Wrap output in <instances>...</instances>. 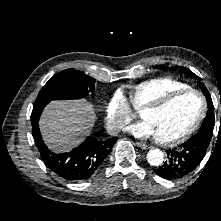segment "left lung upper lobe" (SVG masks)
Returning a JSON list of instances; mask_svg holds the SVG:
<instances>
[{
	"mask_svg": "<svg viewBox=\"0 0 221 221\" xmlns=\"http://www.w3.org/2000/svg\"><path fill=\"white\" fill-rule=\"evenodd\" d=\"M162 69V68H161ZM181 69L191 78L194 79H200L197 75H195L193 72H191L189 69L185 68V67H181ZM199 87L201 88L202 92L204 93L207 102H208V113L206 115V118L203 122V124L201 125V128L199 129L197 134H201V135H205L208 137V142H210L211 137L213 135V129H214V125H215V118H214V106L212 103V99L211 96L207 90V88L205 87V85L202 82H198Z\"/></svg>",
	"mask_w": 221,
	"mask_h": 221,
	"instance_id": "1",
	"label": "left lung upper lobe"
}]
</instances>
